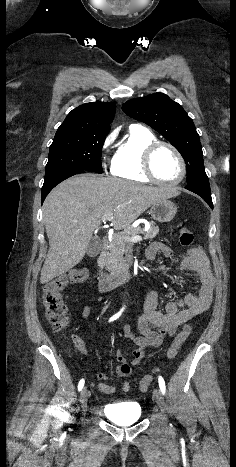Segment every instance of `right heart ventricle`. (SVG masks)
Listing matches in <instances>:
<instances>
[{
	"label": "right heart ventricle",
	"instance_id": "right-heart-ventricle-1",
	"mask_svg": "<svg viewBox=\"0 0 236 467\" xmlns=\"http://www.w3.org/2000/svg\"><path fill=\"white\" fill-rule=\"evenodd\" d=\"M156 140V136L148 128L131 125L113 158L111 174L131 181L149 182L150 179L142 168L143 151Z\"/></svg>",
	"mask_w": 236,
	"mask_h": 467
}]
</instances>
